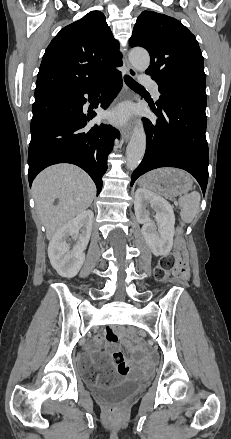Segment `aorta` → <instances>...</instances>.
<instances>
[{
  "instance_id": "1",
  "label": "aorta",
  "mask_w": 231,
  "mask_h": 439,
  "mask_svg": "<svg viewBox=\"0 0 231 439\" xmlns=\"http://www.w3.org/2000/svg\"><path fill=\"white\" fill-rule=\"evenodd\" d=\"M129 60L138 71H145L150 64V56L145 49L135 48L129 53ZM146 148V134L143 123L139 120L133 130L126 149L127 168L134 170L141 163Z\"/></svg>"
}]
</instances>
